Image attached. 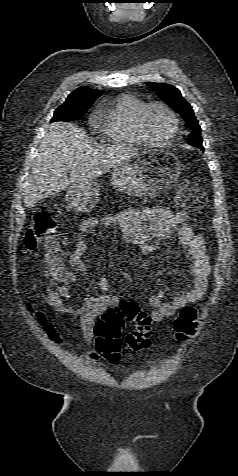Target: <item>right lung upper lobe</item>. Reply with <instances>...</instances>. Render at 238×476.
Masks as SVG:
<instances>
[{
    "mask_svg": "<svg viewBox=\"0 0 238 476\" xmlns=\"http://www.w3.org/2000/svg\"><path fill=\"white\" fill-rule=\"evenodd\" d=\"M102 90L91 89L86 86H81L74 90L66 99L65 102L92 105L94 101L101 95Z\"/></svg>",
    "mask_w": 238,
    "mask_h": 476,
    "instance_id": "obj_1",
    "label": "right lung upper lobe"
}]
</instances>
